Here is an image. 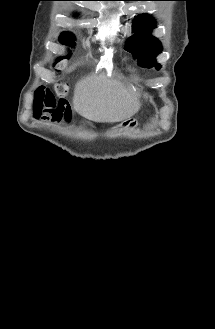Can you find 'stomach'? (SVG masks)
I'll return each instance as SVG.
<instances>
[{"mask_svg":"<svg viewBox=\"0 0 215 329\" xmlns=\"http://www.w3.org/2000/svg\"><path fill=\"white\" fill-rule=\"evenodd\" d=\"M137 122L135 121V119H128L126 121H124L122 124H121V127L122 128H136L137 127Z\"/></svg>","mask_w":215,"mask_h":329,"instance_id":"obj_1","label":"stomach"}]
</instances>
